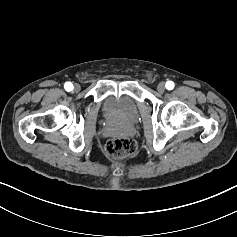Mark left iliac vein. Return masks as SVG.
Listing matches in <instances>:
<instances>
[{
	"instance_id": "4c4485c4",
	"label": "left iliac vein",
	"mask_w": 237,
	"mask_h": 237,
	"mask_svg": "<svg viewBox=\"0 0 237 237\" xmlns=\"http://www.w3.org/2000/svg\"><path fill=\"white\" fill-rule=\"evenodd\" d=\"M157 90H158V92L163 93L165 91V84L163 82H160L157 85Z\"/></svg>"
}]
</instances>
